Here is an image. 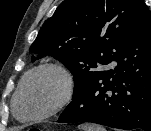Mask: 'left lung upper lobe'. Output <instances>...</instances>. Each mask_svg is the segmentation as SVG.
Returning a JSON list of instances; mask_svg holds the SVG:
<instances>
[{"mask_svg": "<svg viewBox=\"0 0 151 131\" xmlns=\"http://www.w3.org/2000/svg\"><path fill=\"white\" fill-rule=\"evenodd\" d=\"M142 0H64L41 27L30 52L50 53L74 75L73 98L128 46ZM36 57L32 56V61Z\"/></svg>", "mask_w": 151, "mask_h": 131, "instance_id": "1", "label": "left lung upper lobe"}]
</instances>
